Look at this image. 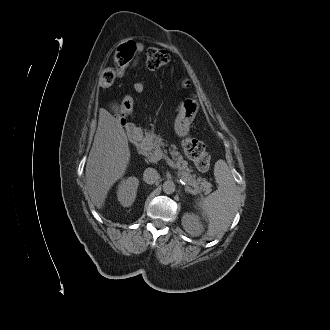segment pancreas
I'll list each match as a JSON object with an SVG mask.
<instances>
[{"instance_id":"pancreas-1","label":"pancreas","mask_w":330,"mask_h":330,"mask_svg":"<svg viewBox=\"0 0 330 330\" xmlns=\"http://www.w3.org/2000/svg\"><path fill=\"white\" fill-rule=\"evenodd\" d=\"M165 146L166 144L163 142L161 136L147 134L141 144V153L146 156L149 162H157L154 160L155 151L161 150V148H164ZM169 153L176 161L178 177L186 182L187 185L191 186L195 193L205 192L207 194L211 192L212 184L202 177H197L195 174H191L192 170L188 167V162L183 159V156L177 151L175 145H171Z\"/></svg>"}]
</instances>
